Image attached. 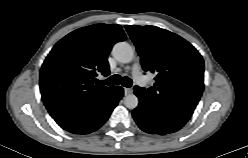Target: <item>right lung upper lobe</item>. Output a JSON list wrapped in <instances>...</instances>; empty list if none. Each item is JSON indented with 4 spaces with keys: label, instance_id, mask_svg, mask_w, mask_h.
I'll use <instances>...</instances> for the list:
<instances>
[{
    "label": "right lung upper lobe",
    "instance_id": "cb5924a9",
    "mask_svg": "<svg viewBox=\"0 0 248 158\" xmlns=\"http://www.w3.org/2000/svg\"><path fill=\"white\" fill-rule=\"evenodd\" d=\"M126 39L120 25L95 24L62 38L40 71L42 100L52 118L70 116L95 104L113 87L95 84L97 72L110 74L112 46Z\"/></svg>",
    "mask_w": 248,
    "mask_h": 158
}]
</instances>
